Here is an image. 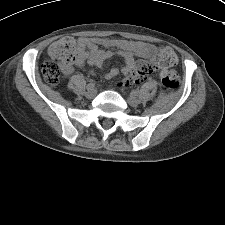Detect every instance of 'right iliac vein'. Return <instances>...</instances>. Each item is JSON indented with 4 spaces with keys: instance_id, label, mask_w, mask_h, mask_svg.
Listing matches in <instances>:
<instances>
[{
    "instance_id": "63e3f726",
    "label": "right iliac vein",
    "mask_w": 225,
    "mask_h": 225,
    "mask_svg": "<svg viewBox=\"0 0 225 225\" xmlns=\"http://www.w3.org/2000/svg\"><path fill=\"white\" fill-rule=\"evenodd\" d=\"M96 93H97V91H96L95 87L89 88L86 92V97L88 99H93L96 96Z\"/></svg>"
}]
</instances>
